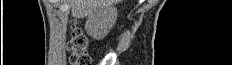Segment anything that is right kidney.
Returning a JSON list of instances; mask_svg holds the SVG:
<instances>
[{"label": "right kidney", "mask_w": 232, "mask_h": 65, "mask_svg": "<svg viewBox=\"0 0 232 65\" xmlns=\"http://www.w3.org/2000/svg\"><path fill=\"white\" fill-rule=\"evenodd\" d=\"M117 16V9L112 6L94 11L86 20L85 29L88 35L95 39H103L115 25Z\"/></svg>", "instance_id": "ca27d5eb"}]
</instances>
